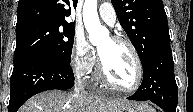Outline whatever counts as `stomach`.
I'll use <instances>...</instances> for the list:
<instances>
[{"instance_id":"1","label":"stomach","mask_w":193,"mask_h":112,"mask_svg":"<svg viewBox=\"0 0 193 112\" xmlns=\"http://www.w3.org/2000/svg\"><path fill=\"white\" fill-rule=\"evenodd\" d=\"M116 112H155L153 108L148 106L145 103H133L129 106H126L122 109L117 110Z\"/></svg>"}]
</instances>
